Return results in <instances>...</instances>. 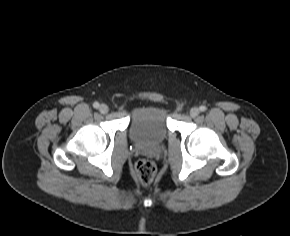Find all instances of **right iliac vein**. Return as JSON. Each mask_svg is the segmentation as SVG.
Segmentation results:
<instances>
[{
  "label": "right iliac vein",
  "instance_id": "63e3f726",
  "mask_svg": "<svg viewBox=\"0 0 290 236\" xmlns=\"http://www.w3.org/2000/svg\"><path fill=\"white\" fill-rule=\"evenodd\" d=\"M99 111H100L102 114H106V113H108L109 108H108V106H107L106 104H101V105L99 106Z\"/></svg>",
  "mask_w": 290,
  "mask_h": 236
}]
</instances>
